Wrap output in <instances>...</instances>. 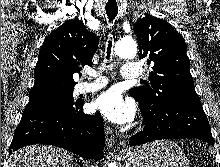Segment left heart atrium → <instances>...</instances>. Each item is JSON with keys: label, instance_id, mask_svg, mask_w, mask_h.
<instances>
[{"label": "left heart atrium", "instance_id": "obj_1", "mask_svg": "<svg viewBox=\"0 0 220 167\" xmlns=\"http://www.w3.org/2000/svg\"><path fill=\"white\" fill-rule=\"evenodd\" d=\"M92 107L109 121L118 124L128 122L134 115L133 104L124 101L122 96L115 91H108L100 95Z\"/></svg>", "mask_w": 220, "mask_h": 167}]
</instances>
